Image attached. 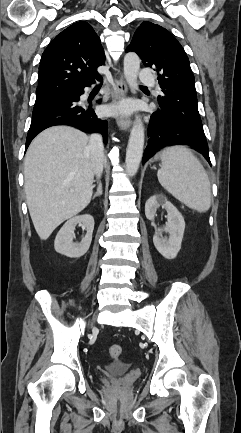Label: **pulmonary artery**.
<instances>
[{"label": "pulmonary artery", "mask_w": 241, "mask_h": 433, "mask_svg": "<svg viewBox=\"0 0 241 433\" xmlns=\"http://www.w3.org/2000/svg\"><path fill=\"white\" fill-rule=\"evenodd\" d=\"M139 81L142 84L151 85L155 82V77L147 68H142L139 73Z\"/></svg>", "instance_id": "obj_1"}]
</instances>
